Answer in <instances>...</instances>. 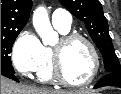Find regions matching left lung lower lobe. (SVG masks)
<instances>
[{
    "instance_id": "0a47b994",
    "label": "left lung lower lobe",
    "mask_w": 121,
    "mask_h": 94,
    "mask_svg": "<svg viewBox=\"0 0 121 94\" xmlns=\"http://www.w3.org/2000/svg\"><path fill=\"white\" fill-rule=\"evenodd\" d=\"M103 86H117L121 88V73H109L101 78L94 88Z\"/></svg>"
}]
</instances>
